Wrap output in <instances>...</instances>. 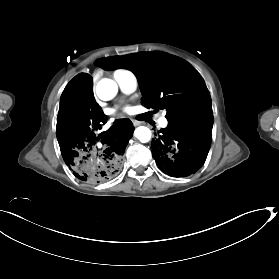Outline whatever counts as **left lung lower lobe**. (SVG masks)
Listing matches in <instances>:
<instances>
[{
	"mask_svg": "<svg viewBox=\"0 0 279 279\" xmlns=\"http://www.w3.org/2000/svg\"><path fill=\"white\" fill-rule=\"evenodd\" d=\"M213 117L172 122L152 141V156L169 176L186 177L205 162L212 140Z\"/></svg>",
	"mask_w": 279,
	"mask_h": 279,
	"instance_id": "0a47b994",
	"label": "left lung lower lobe"
}]
</instances>
